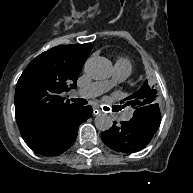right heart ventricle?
Segmentation results:
<instances>
[{
    "label": "right heart ventricle",
    "instance_id": "1",
    "mask_svg": "<svg viewBox=\"0 0 193 193\" xmlns=\"http://www.w3.org/2000/svg\"><path fill=\"white\" fill-rule=\"evenodd\" d=\"M115 65H119L122 69L129 70L131 72L132 70V63L126 59V58H119L115 61Z\"/></svg>",
    "mask_w": 193,
    "mask_h": 193
}]
</instances>
